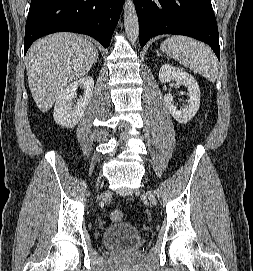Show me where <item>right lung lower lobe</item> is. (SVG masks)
Instances as JSON below:
<instances>
[{"label":"right lung lower lobe","mask_w":253,"mask_h":271,"mask_svg":"<svg viewBox=\"0 0 253 271\" xmlns=\"http://www.w3.org/2000/svg\"><path fill=\"white\" fill-rule=\"evenodd\" d=\"M123 0H31L25 27V52L38 38L60 31L89 35L110 45Z\"/></svg>","instance_id":"right-lung-lower-lobe-1"}]
</instances>
